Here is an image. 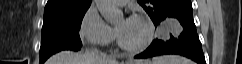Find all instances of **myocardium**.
<instances>
[{
	"mask_svg": "<svg viewBox=\"0 0 242 64\" xmlns=\"http://www.w3.org/2000/svg\"><path fill=\"white\" fill-rule=\"evenodd\" d=\"M131 19L140 21L147 27L146 39L144 40V42H142L139 45L131 46L124 42L119 31L117 30L118 43H119V46L127 52L138 53V52H141V51H144L145 49H147L150 46V44L152 43V41L154 39V35H155V27H154L153 22L149 18H147L143 15H134L131 17Z\"/></svg>",
	"mask_w": 242,
	"mask_h": 64,
	"instance_id": "f54148a6",
	"label": "myocardium"
}]
</instances>
